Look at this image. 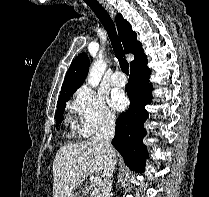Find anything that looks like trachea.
Returning <instances> with one entry per match:
<instances>
[{
	"label": "trachea",
	"instance_id": "obj_1",
	"mask_svg": "<svg viewBox=\"0 0 209 197\" xmlns=\"http://www.w3.org/2000/svg\"><path fill=\"white\" fill-rule=\"evenodd\" d=\"M86 4L92 9V11L95 13L97 18L100 20L102 25L107 31V34L110 38L113 50L115 52L116 57L119 60L121 70L125 74H129V64L124 59V50L121 45V42L119 40V37L116 32L115 24L113 20L111 19L110 15L107 13V11L102 7V5L97 0H84Z\"/></svg>",
	"mask_w": 209,
	"mask_h": 197
}]
</instances>
